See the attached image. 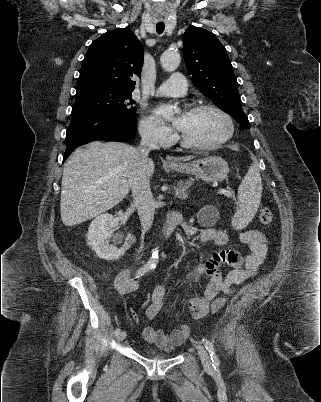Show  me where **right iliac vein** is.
I'll return each mask as SVG.
<instances>
[{
  "instance_id": "63e3f726",
  "label": "right iliac vein",
  "mask_w": 321,
  "mask_h": 402,
  "mask_svg": "<svg viewBox=\"0 0 321 402\" xmlns=\"http://www.w3.org/2000/svg\"><path fill=\"white\" fill-rule=\"evenodd\" d=\"M126 338V332L125 331H122V332H120L118 335H117V340L120 342V341H123L124 339Z\"/></svg>"
}]
</instances>
